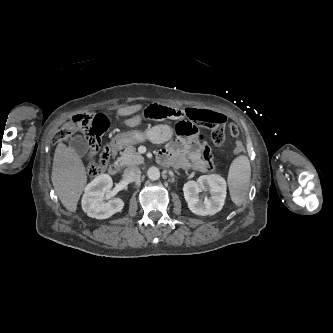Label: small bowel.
I'll return each mask as SVG.
<instances>
[{
  "label": "small bowel",
  "instance_id": "small-bowel-1",
  "mask_svg": "<svg viewBox=\"0 0 333 333\" xmlns=\"http://www.w3.org/2000/svg\"><path fill=\"white\" fill-rule=\"evenodd\" d=\"M206 116L202 122H221L225 125V116L217 111L207 109H195ZM137 116L127 121L129 126L138 124ZM140 123V122H139ZM158 161L162 164L184 168L194 169L199 172L207 170L206 164L201 157V144L193 137H182L169 142L166 147L159 153Z\"/></svg>",
  "mask_w": 333,
  "mask_h": 333
}]
</instances>
